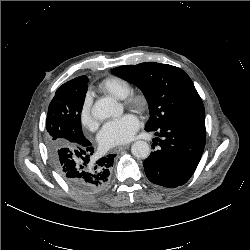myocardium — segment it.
<instances>
[{"label":"myocardium","instance_id":"1","mask_svg":"<svg viewBox=\"0 0 250 250\" xmlns=\"http://www.w3.org/2000/svg\"><path fill=\"white\" fill-rule=\"evenodd\" d=\"M124 100L125 106L139 114L147 112L150 106L148 96L143 92L130 93Z\"/></svg>","mask_w":250,"mask_h":250}]
</instances>
